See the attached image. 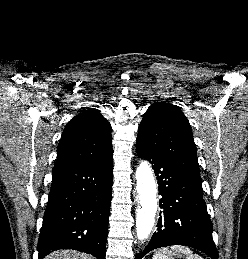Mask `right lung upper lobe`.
I'll list each match as a JSON object with an SVG mask.
<instances>
[{"label":"right lung upper lobe","instance_id":"obj_1","mask_svg":"<svg viewBox=\"0 0 248 259\" xmlns=\"http://www.w3.org/2000/svg\"><path fill=\"white\" fill-rule=\"evenodd\" d=\"M111 153V125L99 111L89 108L66 125L53 170L96 162Z\"/></svg>","mask_w":248,"mask_h":259}]
</instances>
